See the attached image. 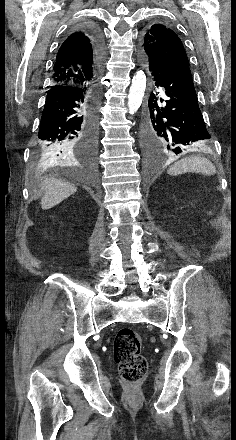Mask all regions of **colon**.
I'll return each instance as SVG.
<instances>
[{
  "label": "colon",
  "instance_id": "5ec220e1",
  "mask_svg": "<svg viewBox=\"0 0 236 440\" xmlns=\"http://www.w3.org/2000/svg\"><path fill=\"white\" fill-rule=\"evenodd\" d=\"M142 340L132 328H122L114 340V359L119 366L122 379L138 382L147 372V361L141 354Z\"/></svg>",
  "mask_w": 236,
  "mask_h": 440
}]
</instances>
